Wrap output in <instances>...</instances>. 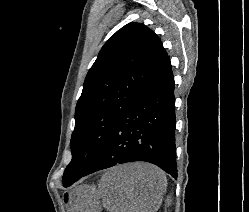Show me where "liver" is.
<instances>
[{
    "label": "liver",
    "mask_w": 249,
    "mask_h": 212,
    "mask_svg": "<svg viewBox=\"0 0 249 212\" xmlns=\"http://www.w3.org/2000/svg\"><path fill=\"white\" fill-rule=\"evenodd\" d=\"M165 190L164 172L146 162L109 168L99 182L107 212H157Z\"/></svg>",
    "instance_id": "obj_1"
}]
</instances>
